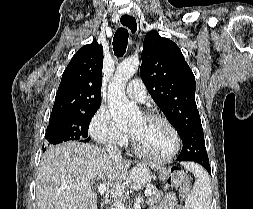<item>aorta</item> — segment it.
Masks as SVG:
<instances>
[{"instance_id":"1","label":"aorta","mask_w":253,"mask_h":209,"mask_svg":"<svg viewBox=\"0 0 253 209\" xmlns=\"http://www.w3.org/2000/svg\"><path fill=\"white\" fill-rule=\"evenodd\" d=\"M140 66L138 58L121 62L108 86V108L118 128L130 126L139 115V109L126 97L125 86Z\"/></svg>"}]
</instances>
